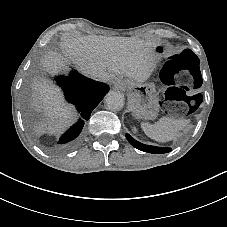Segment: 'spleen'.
I'll return each instance as SVG.
<instances>
[{"label":"spleen","mask_w":227,"mask_h":227,"mask_svg":"<svg viewBox=\"0 0 227 227\" xmlns=\"http://www.w3.org/2000/svg\"><path fill=\"white\" fill-rule=\"evenodd\" d=\"M186 124V119H175L169 116H163L153 124L142 123L141 127L147 136L157 141L164 142L175 139L177 131Z\"/></svg>","instance_id":"3e777b00"}]
</instances>
